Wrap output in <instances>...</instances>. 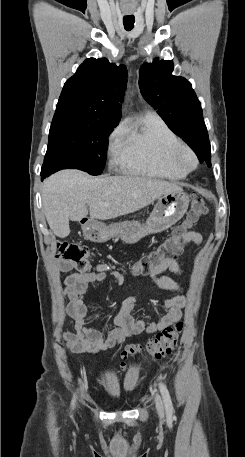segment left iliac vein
<instances>
[{
    "label": "left iliac vein",
    "instance_id": "4c4485c4",
    "mask_svg": "<svg viewBox=\"0 0 245 457\" xmlns=\"http://www.w3.org/2000/svg\"><path fill=\"white\" fill-rule=\"evenodd\" d=\"M155 405L160 417H164V407L162 404V400L158 395H156L155 397Z\"/></svg>",
    "mask_w": 245,
    "mask_h": 457
}]
</instances>
